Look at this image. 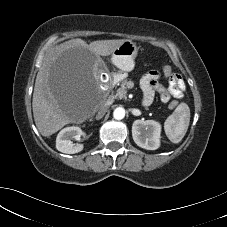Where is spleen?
Returning a JSON list of instances; mask_svg holds the SVG:
<instances>
[{
  "label": "spleen",
  "instance_id": "obj_1",
  "mask_svg": "<svg viewBox=\"0 0 227 227\" xmlns=\"http://www.w3.org/2000/svg\"><path fill=\"white\" fill-rule=\"evenodd\" d=\"M189 122V106L186 103H181L164 123V130L169 140L173 143H179L187 132Z\"/></svg>",
  "mask_w": 227,
  "mask_h": 227
}]
</instances>
